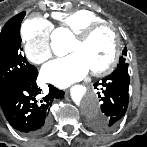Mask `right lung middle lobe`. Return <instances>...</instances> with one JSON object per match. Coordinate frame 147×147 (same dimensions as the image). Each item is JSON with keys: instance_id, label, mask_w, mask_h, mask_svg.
<instances>
[{"instance_id": "dd1d6c3e", "label": "right lung middle lobe", "mask_w": 147, "mask_h": 147, "mask_svg": "<svg viewBox=\"0 0 147 147\" xmlns=\"http://www.w3.org/2000/svg\"><path fill=\"white\" fill-rule=\"evenodd\" d=\"M24 16L21 12L11 18L0 33V88L37 73L22 54L20 25Z\"/></svg>"}]
</instances>
